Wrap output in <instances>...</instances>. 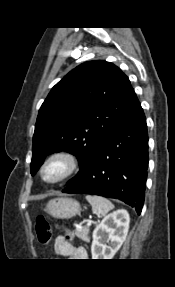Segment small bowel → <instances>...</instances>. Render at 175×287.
Masks as SVG:
<instances>
[{"label": "small bowel", "mask_w": 175, "mask_h": 287, "mask_svg": "<svg viewBox=\"0 0 175 287\" xmlns=\"http://www.w3.org/2000/svg\"><path fill=\"white\" fill-rule=\"evenodd\" d=\"M54 252L57 256L71 259H87L88 254L84 247H74L63 236H58L54 243Z\"/></svg>", "instance_id": "1"}]
</instances>
